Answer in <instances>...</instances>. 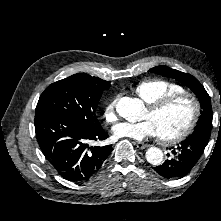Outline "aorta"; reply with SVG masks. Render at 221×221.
Masks as SVG:
<instances>
[{
    "label": "aorta",
    "mask_w": 221,
    "mask_h": 221,
    "mask_svg": "<svg viewBox=\"0 0 221 221\" xmlns=\"http://www.w3.org/2000/svg\"><path fill=\"white\" fill-rule=\"evenodd\" d=\"M116 110L121 117L129 122H135L141 118L143 104L138 99L123 97L117 103ZM145 156L152 165H159L163 160V152L157 147L149 148Z\"/></svg>",
    "instance_id": "1"
}]
</instances>
